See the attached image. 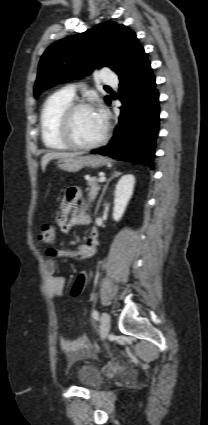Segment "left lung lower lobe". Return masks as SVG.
Masks as SVG:
<instances>
[{
    "instance_id": "obj_1",
    "label": "left lung lower lobe",
    "mask_w": 208,
    "mask_h": 425,
    "mask_svg": "<svg viewBox=\"0 0 208 425\" xmlns=\"http://www.w3.org/2000/svg\"><path fill=\"white\" fill-rule=\"evenodd\" d=\"M119 80L122 102L119 122L110 143L92 152L153 168L159 129V94L146 54Z\"/></svg>"
}]
</instances>
